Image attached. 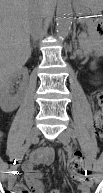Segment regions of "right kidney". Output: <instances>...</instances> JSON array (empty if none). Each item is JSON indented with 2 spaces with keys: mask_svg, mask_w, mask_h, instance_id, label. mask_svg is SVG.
Returning <instances> with one entry per match:
<instances>
[{
  "mask_svg": "<svg viewBox=\"0 0 103 193\" xmlns=\"http://www.w3.org/2000/svg\"><path fill=\"white\" fill-rule=\"evenodd\" d=\"M16 74L9 76L1 75L0 78V107L4 112H12L19 106L17 96L10 94V89L14 86Z\"/></svg>",
  "mask_w": 103,
  "mask_h": 193,
  "instance_id": "1",
  "label": "right kidney"
}]
</instances>
